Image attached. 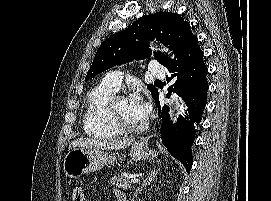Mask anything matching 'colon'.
<instances>
[{
	"label": "colon",
	"instance_id": "5ec220e1",
	"mask_svg": "<svg viewBox=\"0 0 271 201\" xmlns=\"http://www.w3.org/2000/svg\"><path fill=\"white\" fill-rule=\"evenodd\" d=\"M72 201H84V190L82 187L77 186L73 189Z\"/></svg>",
	"mask_w": 271,
	"mask_h": 201
}]
</instances>
